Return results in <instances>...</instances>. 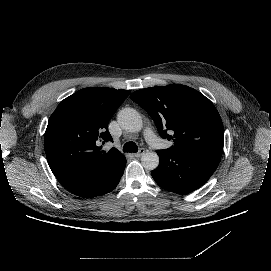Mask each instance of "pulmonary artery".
Segmentation results:
<instances>
[{
	"instance_id": "pulmonary-artery-1",
	"label": "pulmonary artery",
	"mask_w": 271,
	"mask_h": 271,
	"mask_svg": "<svg viewBox=\"0 0 271 271\" xmlns=\"http://www.w3.org/2000/svg\"><path fill=\"white\" fill-rule=\"evenodd\" d=\"M145 137H146L147 141L150 142L152 140V138L154 137V135L150 130H147L145 132Z\"/></svg>"
}]
</instances>
